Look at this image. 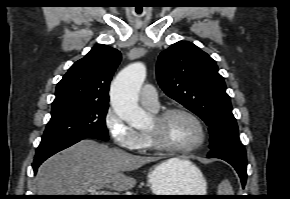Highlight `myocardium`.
<instances>
[{
  "label": "myocardium",
  "mask_w": 290,
  "mask_h": 199,
  "mask_svg": "<svg viewBox=\"0 0 290 199\" xmlns=\"http://www.w3.org/2000/svg\"><path fill=\"white\" fill-rule=\"evenodd\" d=\"M173 114H183L189 117L192 121H194L200 132L199 140L192 146L185 147V148H177V147H172V146H168L164 144L158 138L157 133L146 131L145 134L147 135L149 139L151 148L153 150L171 154V155H187L200 149L207 140V131L201 119L194 112L184 107H171V108H167L160 112L155 113L153 115V119L160 126L168 119V117H170Z\"/></svg>",
  "instance_id": "1"
}]
</instances>
